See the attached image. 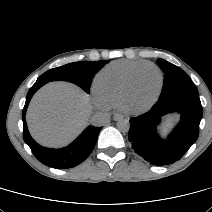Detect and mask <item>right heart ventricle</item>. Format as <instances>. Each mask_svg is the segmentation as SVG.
Listing matches in <instances>:
<instances>
[{"instance_id": "1", "label": "right heart ventricle", "mask_w": 212, "mask_h": 212, "mask_svg": "<svg viewBox=\"0 0 212 212\" xmlns=\"http://www.w3.org/2000/svg\"><path fill=\"white\" fill-rule=\"evenodd\" d=\"M147 61L119 60L101 69L94 80L96 93L105 106L119 105L123 89L131 73Z\"/></svg>"}]
</instances>
